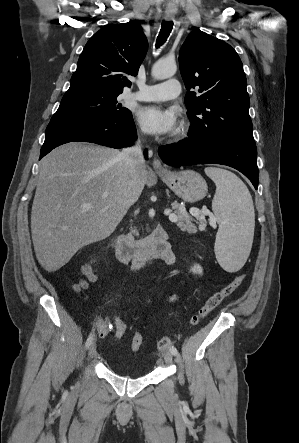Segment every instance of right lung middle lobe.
Listing matches in <instances>:
<instances>
[{"instance_id": "obj_1", "label": "right lung middle lobe", "mask_w": 299, "mask_h": 443, "mask_svg": "<svg viewBox=\"0 0 299 443\" xmlns=\"http://www.w3.org/2000/svg\"><path fill=\"white\" fill-rule=\"evenodd\" d=\"M121 93L93 87L69 88L54 116L100 119L130 115V110L117 102Z\"/></svg>"}]
</instances>
